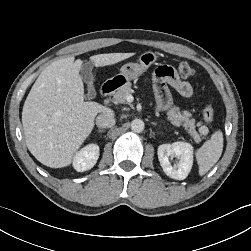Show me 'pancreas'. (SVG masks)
<instances>
[{"instance_id": "obj_1", "label": "pancreas", "mask_w": 251, "mask_h": 251, "mask_svg": "<svg viewBox=\"0 0 251 251\" xmlns=\"http://www.w3.org/2000/svg\"><path fill=\"white\" fill-rule=\"evenodd\" d=\"M132 92L131 83H127L115 92L113 100L117 103H124L126 102V96ZM166 115L167 119L174 126H183L195 142L198 143L201 141V135L195 130V127L196 125L201 126L202 122L196 124L195 119L191 118L192 114L189 111H180L179 107L173 106L167 111Z\"/></svg>"}]
</instances>
